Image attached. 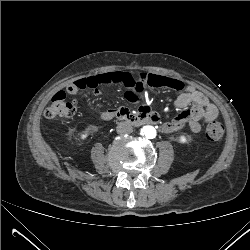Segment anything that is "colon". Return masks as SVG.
Here are the masks:
<instances>
[{"mask_svg":"<svg viewBox=\"0 0 250 250\" xmlns=\"http://www.w3.org/2000/svg\"><path fill=\"white\" fill-rule=\"evenodd\" d=\"M166 82V79L159 75L147 74L141 77H135L132 73L126 71H113L102 73L90 78L79 79L66 87L65 90L57 92L51 99L45 110V116L52 120H68L76 115L77 107L72 101L67 100L68 95H74L78 91L85 89H96L111 84H123L127 87L130 84H137L141 87H159ZM224 127L219 120L211 121L206 128V137L210 141H217L222 138Z\"/></svg>","mask_w":250,"mask_h":250,"instance_id":"1","label":"colon"}]
</instances>
